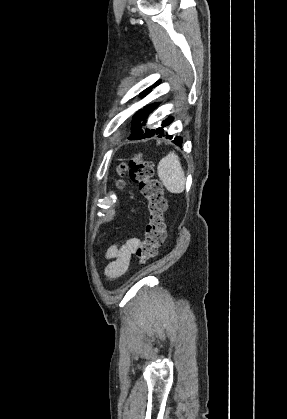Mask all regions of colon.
<instances>
[{
    "instance_id": "obj_1",
    "label": "colon",
    "mask_w": 287,
    "mask_h": 419,
    "mask_svg": "<svg viewBox=\"0 0 287 419\" xmlns=\"http://www.w3.org/2000/svg\"><path fill=\"white\" fill-rule=\"evenodd\" d=\"M129 170L130 178L138 184L142 195L147 201L149 212L145 227L144 240L136 249V257L141 264L155 258L165 239L164 212L167 203L161 183L153 178L154 169L141 153L135 154L127 162L117 166V173L123 176ZM122 186V181H119Z\"/></svg>"
}]
</instances>
